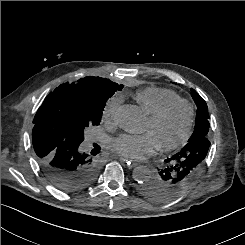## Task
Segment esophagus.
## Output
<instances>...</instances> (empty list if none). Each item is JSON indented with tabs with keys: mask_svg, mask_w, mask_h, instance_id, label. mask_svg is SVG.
<instances>
[{
	"mask_svg": "<svg viewBox=\"0 0 245 245\" xmlns=\"http://www.w3.org/2000/svg\"><path fill=\"white\" fill-rule=\"evenodd\" d=\"M119 159H120V161L123 162V163L125 164V166L128 167L129 169H132V168H134V167L137 166L136 163H134L132 160L127 159V158H125V157H120Z\"/></svg>",
	"mask_w": 245,
	"mask_h": 245,
	"instance_id": "34e87169",
	"label": "esophagus"
}]
</instances>
